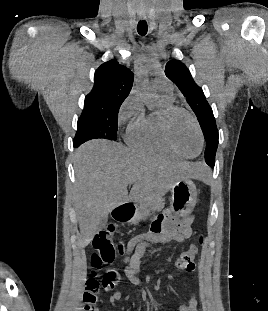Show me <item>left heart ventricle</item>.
Returning <instances> with one entry per match:
<instances>
[{
	"label": "left heart ventricle",
	"mask_w": 268,
	"mask_h": 311,
	"mask_svg": "<svg viewBox=\"0 0 268 311\" xmlns=\"http://www.w3.org/2000/svg\"><path fill=\"white\" fill-rule=\"evenodd\" d=\"M171 135L177 147L184 153L195 155L200 148V138L192 120L177 113L171 121Z\"/></svg>",
	"instance_id": "left-heart-ventricle-1"
}]
</instances>
